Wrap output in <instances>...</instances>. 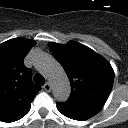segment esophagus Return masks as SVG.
<instances>
[{
    "label": "esophagus",
    "mask_w": 128,
    "mask_h": 128,
    "mask_svg": "<svg viewBox=\"0 0 128 128\" xmlns=\"http://www.w3.org/2000/svg\"><path fill=\"white\" fill-rule=\"evenodd\" d=\"M43 88H44V90L46 91V92H50L51 91V85H50V83H46L44 86H43Z\"/></svg>",
    "instance_id": "34e87169"
}]
</instances>
